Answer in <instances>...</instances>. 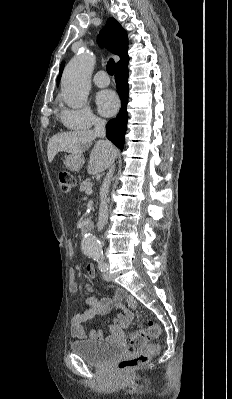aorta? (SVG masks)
I'll return each instance as SVG.
<instances>
[{
	"label": "aorta",
	"mask_w": 232,
	"mask_h": 399,
	"mask_svg": "<svg viewBox=\"0 0 232 399\" xmlns=\"http://www.w3.org/2000/svg\"><path fill=\"white\" fill-rule=\"evenodd\" d=\"M94 64L95 58L89 50L79 53L67 64L61 80V95L69 107L81 108L86 103L91 89L90 79ZM81 250L89 257L102 254L100 241L91 234L83 238Z\"/></svg>",
	"instance_id": "obj_1"
}]
</instances>
